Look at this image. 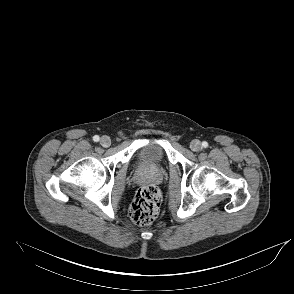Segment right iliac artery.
<instances>
[{"label": "right iliac artery", "instance_id": "82829eb1", "mask_svg": "<svg viewBox=\"0 0 294 294\" xmlns=\"http://www.w3.org/2000/svg\"><path fill=\"white\" fill-rule=\"evenodd\" d=\"M99 136L98 135H95L94 137H93V140L95 141V142H98L99 141Z\"/></svg>", "mask_w": 294, "mask_h": 294}]
</instances>
